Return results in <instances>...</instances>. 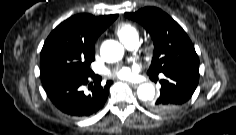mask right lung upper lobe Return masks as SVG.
Listing matches in <instances>:
<instances>
[{"label":"right lung upper lobe","instance_id":"1","mask_svg":"<svg viewBox=\"0 0 236 135\" xmlns=\"http://www.w3.org/2000/svg\"><path fill=\"white\" fill-rule=\"evenodd\" d=\"M118 17V14L93 16L77 14L58 25L50 35L66 31L80 36L83 40L95 43L98 36ZM49 35V36H50Z\"/></svg>","mask_w":236,"mask_h":135}]
</instances>
